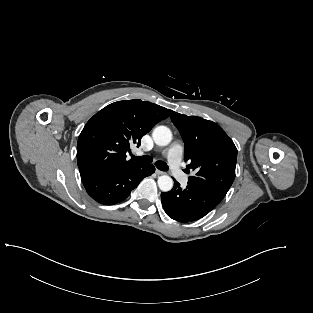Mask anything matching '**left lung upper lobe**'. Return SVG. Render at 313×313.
I'll list each match as a JSON object with an SVG mask.
<instances>
[{
  "instance_id": "1",
  "label": "left lung upper lobe",
  "mask_w": 313,
  "mask_h": 313,
  "mask_svg": "<svg viewBox=\"0 0 313 313\" xmlns=\"http://www.w3.org/2000/svg\"><path fill=\"white\" fill-rule=\"evenodd\" d=\"M185 146L187 168L196 171L191 186L224 198L235 178L237 148L216 123L170 110Z\"/></svg>"
}]
</instances>
